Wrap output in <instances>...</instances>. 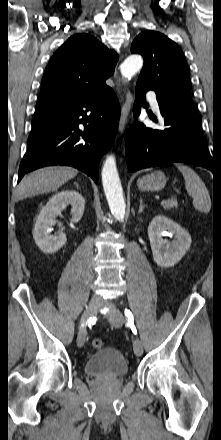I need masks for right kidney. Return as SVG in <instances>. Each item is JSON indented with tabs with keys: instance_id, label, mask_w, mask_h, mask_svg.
<instances>
[{
	"instance_id": "1",
	"label": "right kidney",
	"mask_w": 221,
	"mask_h": 440,
	"mask_svg": "<svg viewBox=\"0 0 221 440\" xmlns=\"http://www.w3.org/2000/svg\"><path fill=\"white\" fill-rule=\"evenodd\" d=\"M71 205V222L77 223L81 220L85 200L80 193L74 190H63L53 195L47 204L41 209L33 231V238L44 253H54L58 251L67 241L65 233L59 231L51 235L52 226L56 224V217Z\"/></svg>"
}]
</instances>
